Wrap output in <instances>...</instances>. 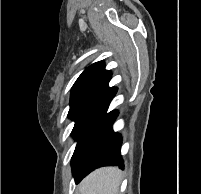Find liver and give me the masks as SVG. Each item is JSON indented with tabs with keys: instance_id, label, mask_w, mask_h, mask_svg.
<instances>
[{
	"instance_id": "6515ba94",
	"label": "liver",
	"mask_w": 201,
	"mask_h": 194,
	"mask_svg": "<svg viewBox=\"0 0 201 194\" xmlns=\"http://www.w3.org/2000/svg\"><path fill=\"white\" fill-rule=\"evenodd\" d=\"M122 172L104 167L89 174L79 185L80 194H118Z\"/></svg>"
}]
</instances>
